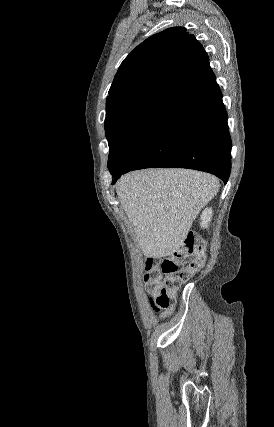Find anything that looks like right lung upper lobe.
<instances>
[{
  "instance_id": "1",
  "label": "right lung upper lobe",
  "mask_w": 274,
  "mask_h": 427,
  "mask_svg": "<svg viewBox=\"0 0 274 427\" xmlns=\"http://www.w3.org/2000/svg\"><path fill=\"white\" fill-rule=\"evenodd\" d=\"M215 78L202 45L183 27L157 33L138 45L122 62L106 100V111L151 94L175 101Z\"/></svg>"
}]
</instances>
